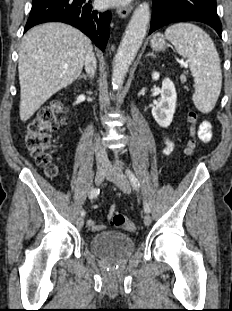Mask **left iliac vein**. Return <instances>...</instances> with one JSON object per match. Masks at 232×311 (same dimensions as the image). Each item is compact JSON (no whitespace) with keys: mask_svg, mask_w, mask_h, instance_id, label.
Instances as JSON below:
<instances>
[{"mask_svg":"<svg viewBox=\"0 0 232 311\" xmlns=\"http://www.w3.org/2000/svg\"><path fill=\"white\" fill-rule=\"evenodd\" d=\"M107 178L115 183L124 193L129 194L131 192V185L127 177L118 169L110 167ZM152 222L151 216L146 213L144 216V224L149 226Z\"/></svg>","mask_w":232,"mask_h":311,"instance_id":"left-iliac-vein-1","label":"left iliac vein"}]
</instances>
